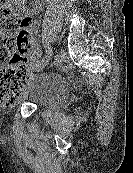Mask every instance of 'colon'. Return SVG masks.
<instances>
[{"label": "colon", "mask_w": 133, "mask_h": 173, "mask_svg": "<svg viewBox=\"0 0 133 173\" xmlns=\"http://www.w3.org/2000/svg\"><path fill=\"white\" fill-rule=\"evenodd\" d=\"M32 21L0 8V105L14 103L25 86L23 62L31 50Z\"/></svg>", "instance_id": "obj_1"}]
</instances>
